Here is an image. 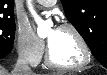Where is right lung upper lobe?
<instances>
[{"label": "right lung upper lobe", "mask_w": 107, "mask_h": 75, "mask_svg": "<svg viewBox=\"0 0 107 75\" xmlns=\"http://www.w3.org/2000/svg\"><path fill=\"white\" fill-rule=\"evenodd\" d=\"M14 0H0V19L14 18Z\"/></svg>", "instance_id": "cb5924a9"}]
</instances>
